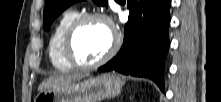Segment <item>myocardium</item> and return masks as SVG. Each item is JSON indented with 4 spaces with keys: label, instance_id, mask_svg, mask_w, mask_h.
I'll return each instance as SVG.
<instances>
[{
    "label": "myocardium",
    "instance_id": "obj_1",
    "mask_svg": "<svg viewBox=\"0 0 221 102\" xmlns=\"http://www.w3.org/2000/svg\"><path fill=\"white\" fill-rule=\"evenodd\" d=\"M89 20H97L105 23L108 28L110 29L111 35H112V41L109 49L107 52L98 60L92 62V63H82L79 62L75 56L73 55L72 51V44H73V38L77 31V29L86 21ZM120 43L119 35L113 26L110 19L99 12H84L81 14H78L69 24L68 28L66 29L63 44H62V53L65 58V60L74 68L78 69H94L97 68L104 63H106L117 51Z\"/></svg>",
    "mask_w": 221,
    "mask_h": 102
}]
</instances>
